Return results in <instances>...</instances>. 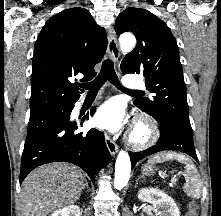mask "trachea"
I'll use <instances>...</instances> for the list:
<instances>
[{
  "label": "trachea",
  "mask_w": 221,
  "mask_h": 216,
  "mask_svg": "<svg viewBox=\"0 0 221 216\" xmlns=\"http://www.w3.org/2000/svg\"><path fill=\"white\" fill-rule=\"evenodd\" d=\"M107 80L111 84L116 86V88L124 92L133 94H143V92L141 91L127 90L121 86L116 72L114 70V63L110 59H107L103 62L100 73L92 82L81 84L80 87L88 90V93H97Z\"/></svg>",
  "instance_id": "1"
}]
</instances>
